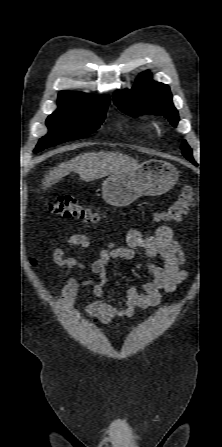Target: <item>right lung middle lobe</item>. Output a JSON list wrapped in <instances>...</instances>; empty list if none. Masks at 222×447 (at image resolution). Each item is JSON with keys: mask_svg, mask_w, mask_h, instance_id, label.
<instances>
[{"mask_svg": "<svg viewBox=\"0 0 222 447\" xmlns=\"http://www.w3.org/2000/svg\"><path fill=\"white\" fill-rule=\"evenodd\" d=\"M109 102L108 99L58 96V109L46 120L49 133L40 139L34 152L94 132L104 121Z\"/></svg>", "mask_w": 222, "mask_h": 447, "instance_id": "right-lung-middle-lobe-1", "label": "right lung middle lobe"}]
</instances>
